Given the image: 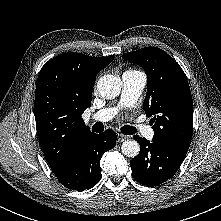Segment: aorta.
<instances>
[{"mask_svg": "<svg viewBox=\"0 0 221 221\" xmlns=\"http://www.w3.org/2000/svg\"><path fill=\"white\" fill-rule=\"evenodd\" d=\"M122 88V81L114 75H104L97 82V89L101 97L114 99L117 97ZM122 153L130 158L136 157L140 152L139 143L135 140H127L122 143Z\"/></svg>", "mask_w": 221, "mask_h": 221, "instance_id": "aorta-1", "label": "aorta"}]
</instances>
